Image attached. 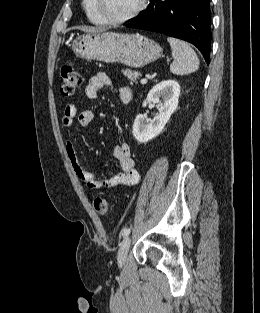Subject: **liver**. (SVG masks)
I'll use <instances>...</instances> for the list:
<instances>
[{
    "label": "liver",
    "instance_id": "obj_1",
    "mask_svg": "<svg viewBox=\"0 0 260 313\" xmlns=\"http://www.w3.org/2000/svg\"><path fill=\"white\" fill-rule=\"evenodd\" d=\"M82 30L85 32H89V33H97V32L105 31V29H100V28H82Z\"/></svg>",
    "mask_w": 260,
    "mask_h": 313
}]
</instances>
